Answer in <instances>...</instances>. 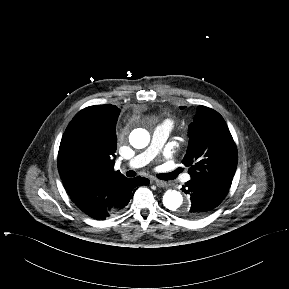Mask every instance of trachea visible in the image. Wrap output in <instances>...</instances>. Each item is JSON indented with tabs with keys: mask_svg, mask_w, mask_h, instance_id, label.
Here are the masks:
<instances>
[{
	"mask_svg": "<svg viewBox=\"0 0 289 289\" xmlns=\"http://www.w3.org/2000/svg\"><path fill=\"white\" fill-rule=\"evenodd\" d=\"M179 172L180 171L177 170V171L172 172V173L162 174L159 176V178L162 180H171V179L175 178ZM135 175H136V173L132 170L127 172L128 177H134Z\"/></svg>",
	"mask_w": 289,
	"mask_h": 289,
	"instance_id": "1",
	"label": "trachea"
}]
</instances>
